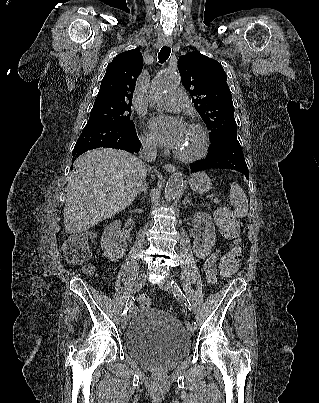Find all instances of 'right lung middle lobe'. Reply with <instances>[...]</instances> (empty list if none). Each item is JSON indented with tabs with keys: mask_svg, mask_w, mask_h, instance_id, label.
I'll return each mask as SVG.
<instances>
[{
	"mask_svg": "<svg viewBox=\"0 0 319 403\" xmlns=\"http://www.w3.org/2000/svg\"><path fill=\"white\" fill-rule=\"evenodd\" d=\"M131 105L95 102L86 126L117 124L131 130L135 129L130 120Z\"/></svg>",
	"mask_w": 319,
	"mask_h": 403,
	"instance_id": "obj_1",
	"label": "right lung middle lobe"
}]
</instances>
